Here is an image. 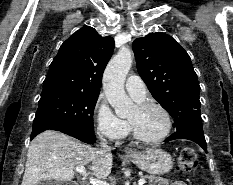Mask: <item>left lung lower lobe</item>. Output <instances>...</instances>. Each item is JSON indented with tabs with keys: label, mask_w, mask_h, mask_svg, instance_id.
Wrapping results in <instances>:
<instances>
[{
	"label": "left lung lower lobe",
	"mask_w": 233,
	"mask_h": 185,
	"mask_svg": "<svg viewBox=\"0 0 233 185\" xmlns=\"http://www.w3.org/2000/svg\"><path fill=\"white\" fill-rule=\"evenodd\" d=\"M175 139H188L199 144L207 152L206 141L203 134L202 124L196 123L178 130L169 136L165 142Z\"/></svg>",
	"instance_id": "0a47b994"
}]
</instances>
